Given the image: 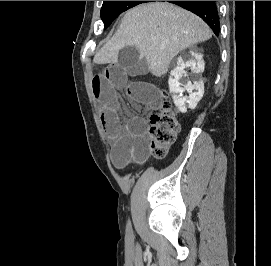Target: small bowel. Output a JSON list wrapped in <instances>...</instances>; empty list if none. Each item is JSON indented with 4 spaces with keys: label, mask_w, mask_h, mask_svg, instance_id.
<instances>
[{
    "label": "small bowel",
    "mask_w": 271,
    "mask_h": 266,
    "mask_svg": "<svg viewBox=\"0 0 271 266\" xmlns=\"http://www.w3.org/2000/svg\"><path fill=\"white\" fill-rule=\"evenodd\" d=\"M148 67L140 59L128 56L125 62H111L92 78V92L99 103L103 128L113 141L112 162L116 168L129 163H143L148 156L146 122L140 117L121 120L119 93L124 92L137 106L156 107L161 100L159 91L150 83L131 81L144 75Z\"/></svg>",
    "instance_id": "c3829d8e"
}]
</instances>
